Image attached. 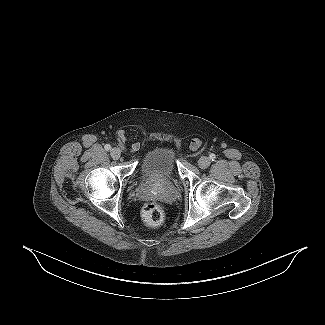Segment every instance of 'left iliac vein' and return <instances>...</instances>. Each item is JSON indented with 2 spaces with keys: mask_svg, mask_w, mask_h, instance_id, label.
Returning a JSON list of instances; mask_svg holds the SVG:
<instances>
[{
  "mask_svg": "<svg viewBox=\"0 0 325 325\" xmlns=\"http://www.w3.org/2000/svg\"><path fill=\"white\" fill-rule=\"evenodd\" d=\"M210 165V159L208 157L202 156L201 158H199L198 160V166L201 169H206L208 168Z\"/></svg>",
  "mask_w": 325,
  "mask_h": 325,
  "instance_id": "1",
  "label": "left iliac vein"
}]
</instances>
